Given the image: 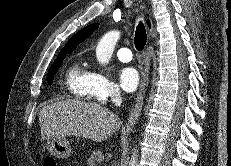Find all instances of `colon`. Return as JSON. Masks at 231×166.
<instances>
[{
	"mask_svg": "<svg viewBox=\"0 0 231 166\" xmlns=\"http://www.w3.org/2000/svg\"><path fill=\"white\" fill-rule=\"evenodd\" d=\"M44 166H58V164L53 157H46L44 160Z\"/></svg>",
	"mask_w": 231,
	"mask_h": 166,
	"instance_id": "obj_1",
	"label": "colon"
}]
</instances>
